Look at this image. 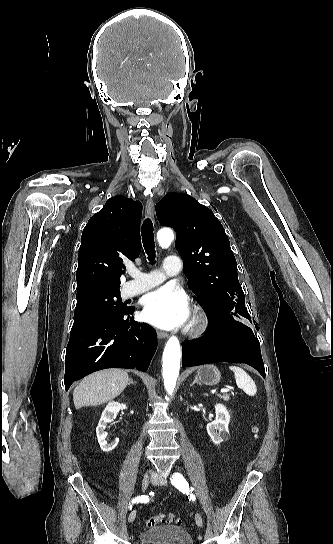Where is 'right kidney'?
Listing matches in <instances>:
<instances>
[{
  "label": "right kidney",
  "instance_id": "1",
  "mask_svg": "<svg viewBox=\"0 0 333 544\" xmlns=\"http://www.w3.org/2000/svg\"><path fill=\"white\" fill-rule=\"evenodd\" d=\"M126 408L127 406L125 404H120L118 402H110L106 405L101 415V418L99 420V424L96 428L98 443L102 451L110 452L113 449H115L116 446L118 445V442H119L118 438H116V440L112 443H107L106 441L107 432H105V429H106L107 423L111 422L116 417V415L119 413L120 410L126 409Z\"/></svg>",
  "mask_w": 333,
  "mask_h": 544
}]
</instances>
